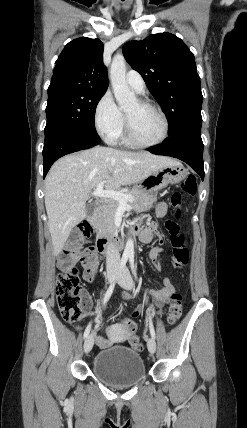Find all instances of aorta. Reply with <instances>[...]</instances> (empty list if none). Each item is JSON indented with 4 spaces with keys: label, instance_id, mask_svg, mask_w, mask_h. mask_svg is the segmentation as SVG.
<instances>
[{
    "label": "aorta",
    "instance_id": "762f6f07",
    "mask_svg": "<svg viewBox=\"0 0 247 428\" xmlns=\"http://www.w3.org/2000/svg\"><path fill=\"white\" fill-rule=\"evenodd\" d=\"M110 80L115 99L121 108H127L136 102V97L130 91L126 82V61L123 55L117 54L113 57L110 68ZM123 255L133 257L134 240L132 238H128Z\"/></svg>",
    "mask_w": 247,
    "mask_h": 428
}]
</instances>
